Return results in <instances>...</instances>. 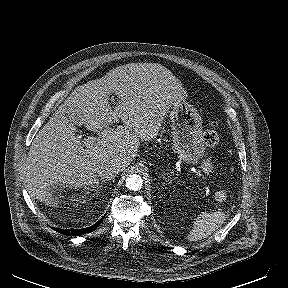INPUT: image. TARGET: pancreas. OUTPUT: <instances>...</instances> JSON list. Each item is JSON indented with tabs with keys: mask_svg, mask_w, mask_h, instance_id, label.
I'll use <instances>...</instances> for the list:
<instances>
[{
	"mask_svg": "<svg viewBox=\"0 0 288 288\" xmlns=\"http://www.w3.org/2000/svg\"><path fill=\"white\" fill-rule=\"evenodd\" d=\"M202 168L203 169H207L208 172H210L213 168H214V165L213 163L211 162L210 159H206L202 162Z\"/></svg>",
	"mask_w": 288,
	"mask_h": 288,
	"instance_id": "pancreas-1",
	"label": "pancreas"
}]
</instances>
